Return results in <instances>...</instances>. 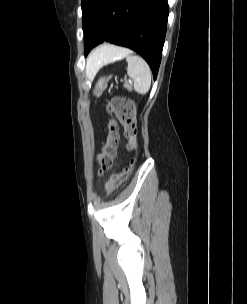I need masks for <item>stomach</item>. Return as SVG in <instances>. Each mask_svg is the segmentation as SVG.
<instances>
[{"mask_svg": "<svg viewBox=\"0 0 247 304\" xmlns=\"http://www.w3.org/2000/svg\"><path fill=\"white\" fill-rule=\"evenodd\" d=\"M107 83L108 79L105 77H101L95 86V93L101 92L107 86Z\"/></svg>", "mask_w": 247, "mask_h": 304, "instance_id": "obj_1", "label": "stomach"}]
</instances>
